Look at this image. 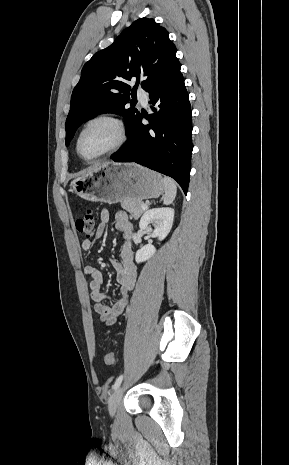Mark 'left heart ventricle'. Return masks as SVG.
<instances>
[{
    "label": "left heart ventricle",
    "mask_w": 289,
    "mask_h": 465,
    "mask_svg": "<svg viewBox=\"0 0 289 465\" xmlns=\"http://www.w3.org/2000/svg\"><path fill=\"white\" fill-rule=\"evenodd\" d=\"M118 139L116 128L108 122L90 125L80 140V152L84 157H93L111 148Z\"/></svg>",
    "instance_id": "left-heart-ventricle-1"
}]
</instances>
